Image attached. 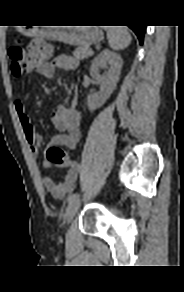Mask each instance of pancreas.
<instances>
[{
	"label": "pancreas",
	"instance_id": "1",
	"mask_svg": "<svg viewBox=\"0 0 184 292\" xmlns=\"http://www.w3.org/2000/svg\"><path fill=\"white\" fill-rule=\"evenodd\" d=\"M90 51L91 49L88 45L80 46L76 48L75 51L73 52V58L76 61L83 60L84 58L90 56V53H89Z\"/></svg>",
	"mask_w": 184,
	"mask_h": 292
}]
</instances>
